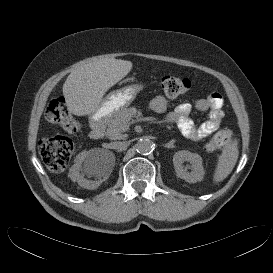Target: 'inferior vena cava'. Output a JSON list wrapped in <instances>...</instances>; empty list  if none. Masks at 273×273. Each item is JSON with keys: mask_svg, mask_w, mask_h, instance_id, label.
Returning a JSON list of instances; mask_svg holds the SVG:
<instances>
[{"mask_svg": "<svg viewBox=\"0 0 273 273\" xmlns=\"http://www.w3.org/2000/svg\"><path fill=\"white\" fill-rule=\"evenodd\" d=\"M111 147L113 149L120 150V149H123V148L127 147V143L126 142H120V141L119 142H113L111 144Z\"/></svg>", "mask_w": 273, "mask_h": 273, "instance_id": "inferior-vena-cava-1", "label": "inferior vena cava"}]
</instances>
